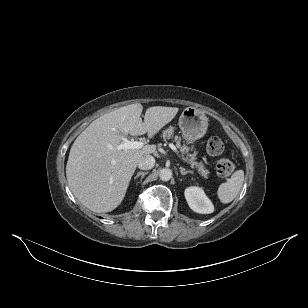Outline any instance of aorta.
<instances>
[{"label":"aorta","instance_id":"obj_1","mask_svg":"<svg viewBox=\"0 0 308 308\" xmlns=\"http://www.w3.org/2000/svg\"><path fill=\"white\" fill-rule=\"evenodd\" d=\"M159 177L162 181H169L172 177V171L168 168L160 170Z\"/></svg>","mask_w":308,"mask_h":308}]
</instances>
